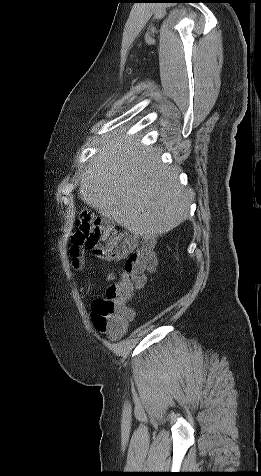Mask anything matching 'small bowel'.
<instances>
[{"instance_id":"obj_1","label":"small bowel","mask_w":261,"mask_h":476,"mask_svg":"<svg viewBox=\"0 0 261 476\" xmlns=\"http://www.w3.org/2000/svg\"><path fill=\"white\" fill-rule=\"evenodd\" d=\"M108 280H109L110 282H114V280H115V275H114L113 273H110V274L108 275Z\"/></svg>"}]
</instances>
